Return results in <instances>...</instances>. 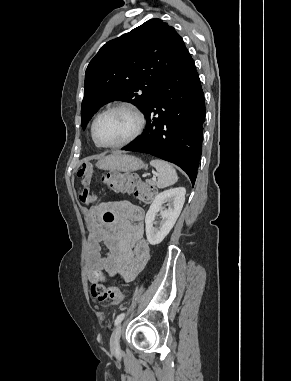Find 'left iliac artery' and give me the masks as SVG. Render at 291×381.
Segmentation results:
<instances>
[{"label": "left iliac artery", "instance_id": "obj_1", "mask_svg": "<svg viewBox=\"0 0 291 381\" xmlns=\"http://www.w3.org/2000/svg\"><path fill=\"white\" fill-rule=\"evenodd\" d=\"M124 316H125V313H121V314H119V315L116 317V319H115V325H118L119 323H121V321L123 320Z\"/></svg>", "mask_w": 291, "mask_h": 381}]
</instances>
